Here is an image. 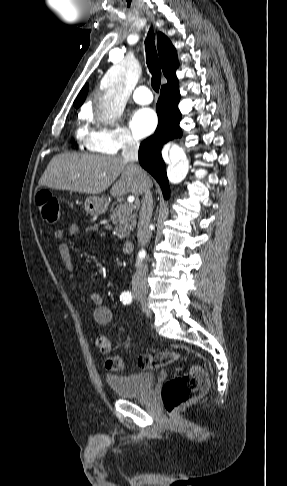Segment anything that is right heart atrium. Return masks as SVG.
<instances>
[{"label":"right heart atrium","instance_id":"1","mask_svg":"<svg viewBox=\"0 0 287 486\" xmlns=\"http://www.w3.org/2000/svg\"><path fill=\"white\" fill-rule=\"evenodd\" d=\"M91 119L90 116H87ZM139 143L131 132L123 125L114 124L111 126L97 125L90 130L85 147L92 152L104 154H116L122 150H133Z\"/></svg>","mask_w":287,"mask_h":486}]
</instances>
